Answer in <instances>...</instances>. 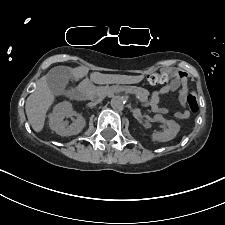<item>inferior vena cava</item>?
I'll use <instances>...</instances> for the list:
<instances>
[{"instance_id":"602c4592","label":"inferior vena cava","mask_w":225,"mask_h":225,"mask_svg":"<svg viewBox=\"0 0 225 225\" xmlns=\"http://www.w3.org/2000/svg\"><path fill=\"white\" fill-rule=\"evenodd\" d=\"M102 101V97H97V98H94L93 99V101L92 102H90L89 104H88V106H95V105H97L98 103H100Z\"/></svg>"}]
</instances>
